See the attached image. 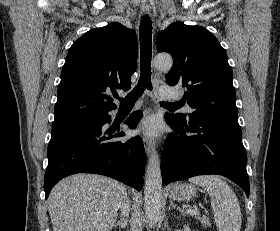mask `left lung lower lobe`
I'll return each mask as SVG.
<instances>
[{
  "label": "left lung lower lobe",
  "mask_w": 280,
  "mask_h": 231,
  "mask_svg": "<svg viewBox=\"0 0 280 231\" xmlns=\"http://www.w3.org/2000/svg\"><path fill=\"white\" fill-rule=\"evenodd\" d=\"M176 133L168 135L161 159L162 184L193 176L217 174L238 184L249 197L247 156L238 117L165 116Z\"/></svg>",
  "instance_id": "obj_1"
}]
</instances>
